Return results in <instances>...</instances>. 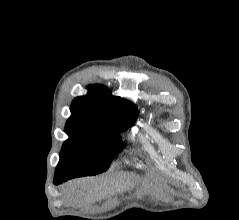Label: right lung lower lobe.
Listing matches in <instances>:
<instances>
[{"label": "right lung lower lobe", "mask_w": 239, "mask_h": 220, "mask_svg": "<svg viewBox=\"0 0 239 220\" xmlns=\"http://www.w3.org/2000/svg\"><path fill=\"white\" fill-rule=\"evenodd\" d=\"M53 183L56 184V185L60 184V183H57V182H55V181H54Z\"/></svg>", "instance_id": "obj_1"}]
</instances>
